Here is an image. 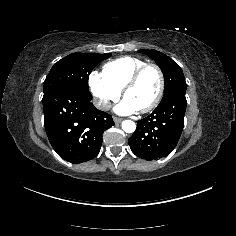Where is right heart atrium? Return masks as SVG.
<instances>
[{
    "label": "right heart atrium",
    "mask_w": 236,
    "mask_h": 236,
    "mask_svg": "<svg viewBox=\"0 0 236 236\" xmlns=\"http://www.w3.org/2000/svg\"><path fill=\"white\" fill-rule=\"evenodd\" d=\"M88 85L96 106L101 110L108 109L121 95V92L116 90L102 73L95 70L89 75Z\"/></svg>",
    "instance_id": "right-heart-atrium-1"
}]
</instances>
